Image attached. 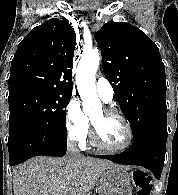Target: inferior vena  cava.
<instances>
[{
    "label": "inferior vena cava",
    "instance_id": "602c4592",
    "mask_svg": "<svg viewBox=\"0 0 178 195\" xmlns=\"http://www.w3.org/2000/svg\"><path fill=\"white\" fill-rule=\"evenodd\" d=\"M67 150H68V157L71 162L76 161L82 156L79 149L76 146L75 141L72 138L68 140Z\"/></svg>",
    "mask_w": 178,
    "mask_h": 195
}]
</instances>
